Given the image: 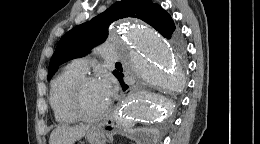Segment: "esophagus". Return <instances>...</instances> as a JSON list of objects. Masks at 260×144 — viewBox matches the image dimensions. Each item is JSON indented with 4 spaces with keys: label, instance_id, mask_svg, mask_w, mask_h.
Masks as SVG:
<instances>
[{
    "label": "esophagus",
    "instance_id": "obj_1",
    "mask_svg": "<svg viewBox=\"0 0 260 144\" xmlns=\"http://www.w3.org/2000/svg\"><path fill=\"white\" fill-rule=\"evenodd\" d=\"M132 91V88H129L126 93H130ZM123 96V95H122Z\"/></svg>",
    "mask_w": 260,
    "mask_h": 144
}]
</instances>
